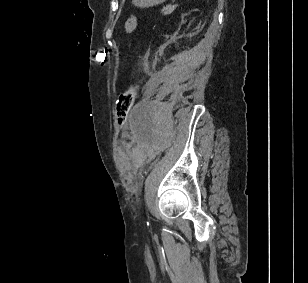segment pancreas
I'll return each mask as SVG.
<instances>
[{"label": "pancreas", "mask_w": 308, "mask_h": 283, "mask_svg": "<svg viewBox=\"0 0 308 283\" xmlns=\"http://www.w3.org/2000/svg\"><path fill=\"white\" fill-rule=\"evenodd\" d=\"M162 12H163L164 15L170 14L171 8L170 7H164Z\"/></svg>", "instance_id": "cf45deb5"}]
</instances>
